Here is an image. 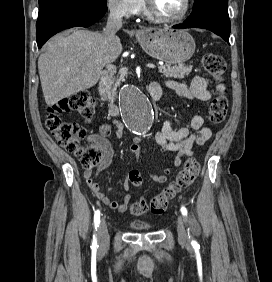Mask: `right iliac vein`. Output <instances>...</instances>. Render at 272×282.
I'll return each instance as SVG.
<instances>
[{
    "instance_id": "obj_1",
    "label": "right iliac vein",
    "mask_w": 272,
    "mask_h": 282,
    "mask_svg": "<svg viewBox=\"0 0 272 282\" xmlns=\"http://www.w3.org/2000/svg\"><path fill=\"white\" fill-rule=\"evenodd\" d=\"M98 236H99V245L100 247H105L109 242L108 228L105 218H102L98 226Z\"/></svg>"
}]
</instances>
